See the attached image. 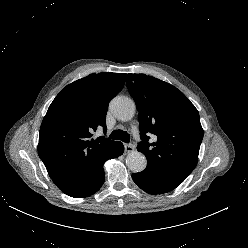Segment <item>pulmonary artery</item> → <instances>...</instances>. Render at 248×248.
I'll return each mask as SVG.
<instances>
[{
  "label": "pulmonary artery",
  "mask_w": 248,
  "mask_h": 248,
  "mask_svg": "<svg viewBox=\"0 0 248 248\" xmlns=\"http://www.w3.org/2000/svg\"><path fill=\"white\" fill-rule=\"evenodd\" d=\"M134 135H135V137H136L137 139H139V133H138V131L134 130Z\"/></svg>",
  "instance_id": "pulmonary-artery-1"
}]
</instances>
